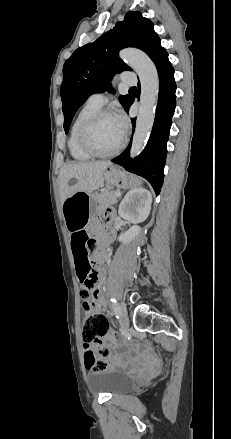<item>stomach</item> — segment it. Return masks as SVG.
<instances>
[{
  "label": "stomach",
  "mask_w": 231,
  "mask_h": 439,
  "mask_svg": "<svg viewBox=\"0 0 231 439\" xmlns=\"http://www.w3.org/2000/svg\"><path fill=\"white\" fill-rule=\"evenodd\" d=\"M104 180L109 186L129 188L140 184L136 176L125 173L115 166L104 171ZM97 195L93 192H75L62 203V213L67 228L71 231L84 227L88 218L96 211Z\"/></svg>",
  "instance_id": "0dacf381"
}]
</instances>
